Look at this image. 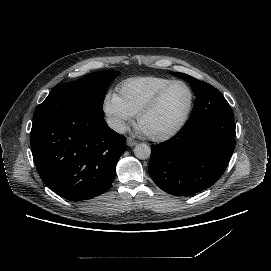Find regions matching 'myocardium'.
<instances>
[{"label": "myocardium", "instance_id": "obj_1", "mask_svg": "<svg viewBox=\"0 0 271 271\" xmlns=\"http://www.w3.org/2000/svg\"><path fill=\"white\" fill-rule=\"evenodd\" d=\"M178 83L185 84L190 89L191 100H190L189 107H188L185 115L183 116V118L180 120V122L175 127L170 129L169 131L164 132V133H160V134H147L149 136V138H151L154 141L162 142V141L169 140V139L173 138L174 136H176L184 128V126L188 122V120H189V118L191 116V113H192V111L194 109L195 100H196V93H195L194 87L186 80L176 79V80L171 81L167 85H165L154 96L152 101L147 106H145L144 109L139 113V115H138V123H139V125H141L142 121L148 115H150L153 111H155L157 109V107L161 103V101L164 98V96L166 95V93L170 90V88H172L174 85H176Z\"/></svg>", "mask_w": 271, "mask_h": 271}]
</instances>
